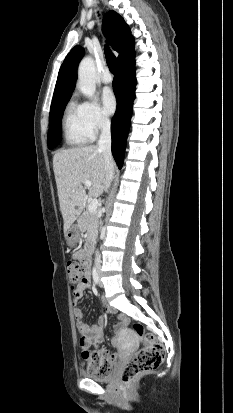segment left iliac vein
Masks as SVG:
<instances>
[{
  "label": "left iliac vein",
  "instance_id": "4c4485c4",
  "mask_svg": "<svg viewBox=\"0 0 233 413\" xmlns=\"http://www.w3.org/2000/svg\"><path fill=\"white\" fill-rule=\"evenodd\" d=\"M99 276H100V271H99ZM100 286L102 287V283L100 282Z\"/></svg>",
  "mask_w": 233,
  "mask_h": 413
}]
</instances>
